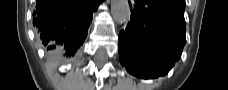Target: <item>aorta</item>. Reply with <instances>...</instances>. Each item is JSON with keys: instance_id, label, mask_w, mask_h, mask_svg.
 Returning <instances> with one entry per match:
<instances>
[{"instance_id": "aorta-1", "label": "aorta", "mask_w": 228, "mask_h": 90, "mask_svg": "<svg viewBox=\"0 0 228 90\" xmlns=\"http://www.w3.org/2000/svg\"><path fill=\"white\" fill-rule=\"evenodd\" d=\"M111 13L117 23L128 21L131 14L128 0H111Z\"/></svg>"}]
</instances>
